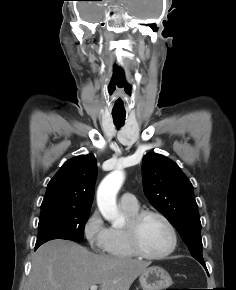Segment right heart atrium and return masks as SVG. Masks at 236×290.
Wrapping results in <instances>:
<instances>
[{
	"label": "right heart atrium",
	"instance_id": "obj_1",
	"mask_svg": "<svg viewBox=\"0 0 236 290\" xmlns=\"http://www.w3.org/2000/svg\"><path fill=\"white\" fill-rule=\"evenodd\" d=\"M83 234L89 247L93 251H105L109 240V228L97 210L91 212L85 220Z\"/></svg>",
	"mask_w": 236,
	"mask_h": 290
}]
</instances>
